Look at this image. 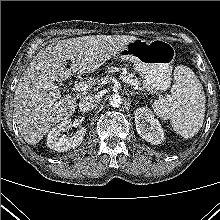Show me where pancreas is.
<instances>
[{
	"mask_svg": "<svg viewBox=\"0 0 220 220\" xmlns=\"http://www.w3.org/2000/svg\"><path fill=\"white\" fill-rule=\"evenodd\" d=\"M120 70H121V68H118V67H109L107 72L108 73H115V72H118ZM132 80H133L134 85H139V81L136 78L132 79Z\"/></svg>",
	"mask_w": 220,
	"mask_h": 220,
	"instance_id": "obj_1",
	"label": "pancreas"
}]
</instances>
